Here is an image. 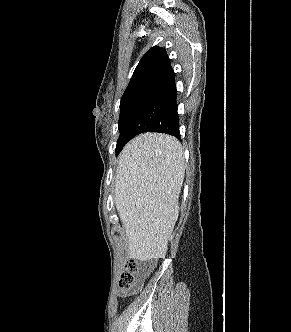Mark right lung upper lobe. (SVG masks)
Wrapping results in <instances>:
<instances>
[{
  "label": "right lung upper lobe",
  "instance_id": "obj_1",
  "mask_svg": "<svg viewBox=\"0 0 291 332\" xmlns=\"http://www.w3.org/2000/svg\"><path fill=\"white\" fill-rule=\"evenodd\" d=\"M174 78L165 49L152 47L140 60L121 100L148 95Z\"/></svg>",
  "mask_w": 291,
  "mask_h": 332
}]
</instances>
